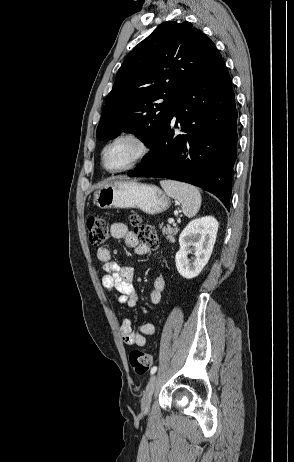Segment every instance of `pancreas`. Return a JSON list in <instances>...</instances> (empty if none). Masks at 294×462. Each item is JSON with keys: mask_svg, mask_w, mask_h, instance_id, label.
<instances>
[{"mask_svg": "<svg viewBox=\"0 0 294 462\" xmlns=\"http://www.w3.org/2000/svg\"><path fill=\"white\" fill-rule=\"evenodd\" d=\"M160 229L162 230V233L167 236V239L169 241L174 242L175 241V235L178 233L179 228L178 227H171L170 225L164 226L161 224Z\"/></svg>", "mask_w": 294, "mask_h": 462, "instance_id": "pancreas-1", "label": "pancreas"}]
</instances>
